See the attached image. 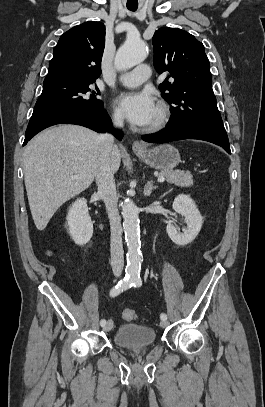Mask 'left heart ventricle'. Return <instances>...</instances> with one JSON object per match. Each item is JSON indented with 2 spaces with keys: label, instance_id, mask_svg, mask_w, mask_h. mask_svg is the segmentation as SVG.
<instances>
[{
  "label": "left heart ventricle",
  "instance_id": "1",
  "mask_svg": "<svg viewBox=\"0 0 265 407\" xmlns=\"http://www.w3.org/2000/svg\"><path fill=\"white\" fill-rule=\"evenodd\" d=\"M157 117H158V109L156 107L153 117L151 118V120L149 121V123L146 126L151 125L157 119Z\"/></svg>",
  "mask_w": 265,
  "mask_h": 407
}]
</instances>
